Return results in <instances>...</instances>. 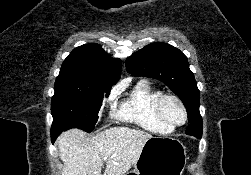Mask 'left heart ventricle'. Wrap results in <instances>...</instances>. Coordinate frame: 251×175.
Masks as SVG:
<instances>
[{
	"mask_svg": "<svg viewBox=\"0 0 251 175\" xmlns=\"http://www.w3.org/2000/svg\"><path fill=\"white\" fill-rule=\"evenodd\" d=\"M165 118L173 125H180L185 120V112L178 101L167 99L162 107Z\"/></svg>",
	"mask_w": 251,
	"mask_h": 175,
	"instance_id": "left-heart-ventricle-1",
	"label": "left heart ventricle"
}]
</instances>
